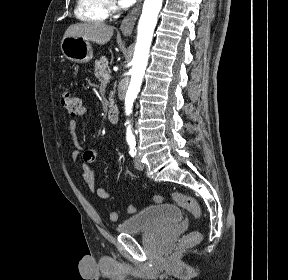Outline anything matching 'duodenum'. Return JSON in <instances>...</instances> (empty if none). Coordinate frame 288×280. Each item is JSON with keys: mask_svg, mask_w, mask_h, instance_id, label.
<instances>
[{"mask_svg": "<svg viewBox=\"0 0 288 280\" xmlns=\"http://www.w3.org/2000/svg\"><path fill=\"white\" fill-rule=\"evenodd\" d=\"M107 119L113 125L118 123V121H119V109L117 106H112L109 108V110L107 112Z\"/></svg>", "mask_w": 288, "mask_h": 280, "instance_id": "duodenum-1", "label": "duodenum"}]
</instances>
